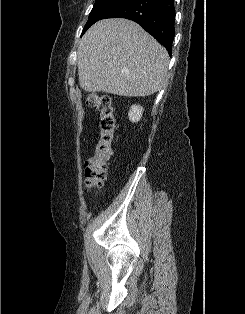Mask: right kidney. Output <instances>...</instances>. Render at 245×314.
Segmentation results:
<instances>
[{"label": "right kidney", "mask_w": 245, "mask_h": 314, "mask_svg": "<svg viewBox=\"0 0 245 314\" xmlns=\"http://www.w3.org/2000/svg\"><path fill=\"white\" fill-rule=\"evenodd\" d=\"M142 113H143V107L139 105L131 106L130 111L128 113L129 120L132 122H138L142 117Z\"/></svg>", "instance_id": "obj_1"}]
</instances>
